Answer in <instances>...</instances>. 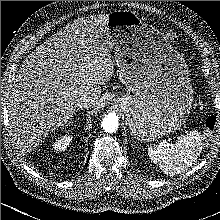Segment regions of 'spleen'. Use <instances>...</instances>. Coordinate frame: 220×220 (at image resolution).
<instances>
[{
  "label": "spleen",
  "instance_id": "spleen-1",
  "mask_svg": "<svg viewBox=\"0 0 220 220\" xmlns=\"http://www.w3.org/2000/svg\"><path fill=\"white\" fill-rule=\"evenodd\" d=\"M202 147L203 136L194 129L184 137H179L171 147L162 143L150 146L148 154L165 174L174 176L185 172L197 160Z\"/></svg>",
  "mask_w": 220,
  "mask_h": 220
}]
</instances>
